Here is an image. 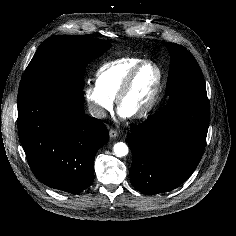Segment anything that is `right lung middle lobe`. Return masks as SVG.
I'll use <instances>...</instances> for the list:
<instances>
[{
	"instance_id": "right-lung-middle-lobe-1",
	"label": "right lung middle lobe",
	"mask_w": 236,
	"mask_h": 236,
	"mask_svg": "<svg viewBox=\"0 0 236 236\" xmlns=\"http://www.w3.org/2000/svg\"><path fill=\"white\" fill-rule=\"evenodd\" d=\"M111 47L105 40L85 36H52L38 48L27 66L19 93L43 85H64L78 90L88 63Z\"/></svg>"
}]
</instances>
